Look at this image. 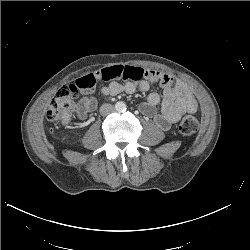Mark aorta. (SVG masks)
Wrapping results in <instances>:
<instances>
[{
	"label": "aorta",
	"mask_w": 250,
	"mask_h": 250,
	"mask_svg": "<svg viewBox=\"0 0 250 250\" xmlns=\"http://www.w3.org/2000/svg\"><path fill=\"white\" fill-rule=\"evenodd\" d=\"M115 110L119 113L126 111V104L123 101H118L115 104Z\"/></svg>",
	"instance_id": "aorta-1"
}]
</instances>
